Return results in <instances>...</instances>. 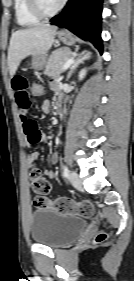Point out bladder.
<instances>
[{"label":"bladder","mask_w":134,"mask_h":281,"mask_svg":"<svg viewBox=\"0 0 134 281\" xmlns=\"http://www.w3.org/2000/svg\"><path fill=\"white\" fill-rule=\"evenodd\" d=\"M86 226L81 216L38 209L31 215L30 235L37 244L61 248L75 241Z\"/></svg>","instance_id":"1"}]
</instances>
